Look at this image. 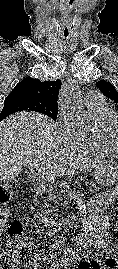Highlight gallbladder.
<instances>
[{
  "label": "gallbladder",
  "mask_w": 118,
  "mask_h": 269,
  "mask_svg": "<svg viewBox=\"0 0 118 269\" xmlns=\"http://www.w3.org/2000/svg\"><path fill=\"white\" fill-rule=\"evenodd\" d=\"M25 172H26L27 174H29V173H30V172H29V171H27V170H26Z\"/></svg>",
  "instance_id": "gallbladder-1"
}]
</instances>
